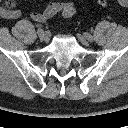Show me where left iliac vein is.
<instances>
[{"mask_svg": "<svg viewBox=\"0 0 128 128\" xmlns=\"http://www.w3.org/2000/svg\"><path fill=\"white\" fill-rule=\"evenodd\" d=\"M77 37H78L79 41H80L83 45H88V44H89V40H88L85 36H83V35H81V34H78Z\"/></svg>", "mask_w": 128, "mask_h": 128, "instance_id": "obj_1", "label": "left iliac vein"}]
</instances>
